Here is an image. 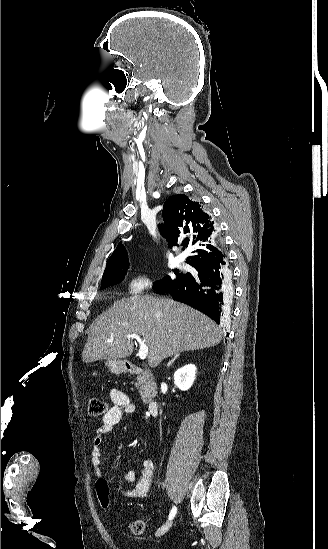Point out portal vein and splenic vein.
Segmentation results:
<instances>
[{
    "instance_id": "obj_1",
    "label": "portal vein and splenic vein",
    "mask_w": 328,
    "mask_h": 549,
    "mask_svg": "<svg viewBox=\"0 0 328 549\" xmlns=\"http://www.w3.org/2000/svg\"><path fill=\"white\" fill-rule=\"evenodd\" d=\"M127 339H136L137 343L140 345L138 357L140 359H146L148 355V347L145 345V341L139 337V335H136V333H131V335H126ZM108 343H113V341H108Z\"/></svg>"
}]
</instances>
